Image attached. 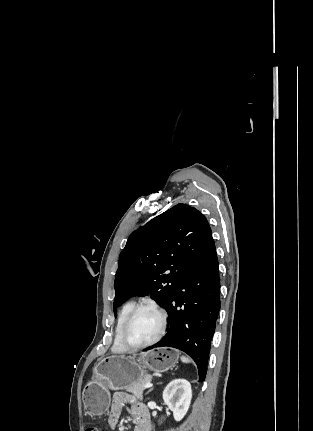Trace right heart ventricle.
Wrapping results in <instances>:
<instances>
[{
  "mask_svg": "<svg viewBox=\"0 0 313 431\" xmlns=\"http://www.w3.org/2000/svg\"><path fill=\"white\" fill-rule=\"evenodd\" d=\"M136 303L134 301L125 302L119 310L117 321L114 331V340L112 344V351L115 353H122L127 351V349L122 345L120 340L121 329L130 311L135 307Z\"/></svg>",
  "mask_w": 313,
  "mask_h": 431,
  "instance_id": "right-heart-ventricle-1",
  "label": "right heart ventricle"
}]
</instances>
